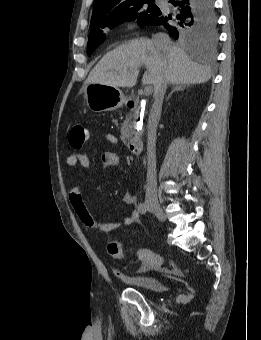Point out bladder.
<instances>
[{"mask_svg":"<svg viewBox=\"0 0 261 340\" xmlns=\"http://www.w3.org/2000/svg\"><path fill=\"white\" fill-rule=\"evenodd\" d=\"M118 278L133 288H139L153 292H162L165 289L161 279L156 276H127L118 273Z\"/></svg>","mask_w":261,"mask_h":340,"instance_id":"1","label":"bladder"}]
</instances>
